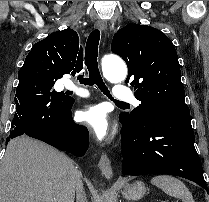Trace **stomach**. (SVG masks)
I'll return each mask as SVG.
<instances>
[{"label":"stomach","instance_id":"1","mask_svg":"<svg viewBox=\"0 0 209 202\" xmlns=\"http://www.w3.org/2000/svg\"><path fill=\"white\" fill-rule=\"evenodd\" d=\"M122 195L129 200L141 199L146 193V187L143 182L136 181L133 184L124 185L121 191Z\"/></svg>","mask_w":209,"mask_h":202}]
</instances>
